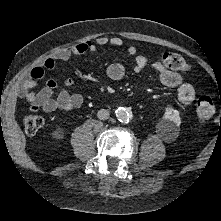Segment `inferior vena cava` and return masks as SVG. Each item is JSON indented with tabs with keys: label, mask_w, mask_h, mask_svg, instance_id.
Wrapping results in <instances>:
<instances>
[{
	"label": "inferior vena cava",
	"mask_w": 221,
	"mask_h": 221,
	"mask_svg": "<svg viewBox=\"0 0 221 221\" xmlns=\"http://www.w3.org/2000/svg\"><path fill=\"white\" fill-rule=\"evenodd\" d=\"M109 111L106 110V109H100L97 113V117L100 119V120H106L109 118Z\"/></svg>",
	"instance_id": "obj_1"
}]
</instances>
